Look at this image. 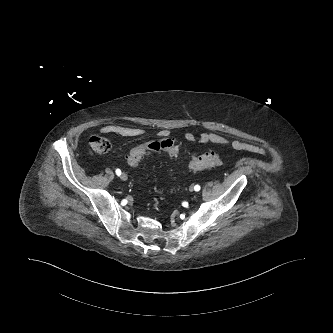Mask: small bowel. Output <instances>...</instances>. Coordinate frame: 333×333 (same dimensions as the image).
<instances>
[{
    "mask_svg": "<svg viewBox=\"0 0 333 333\" xmlns=\"http://www.w3.org/2000/svg\"><path fill=\"white\" fill-rule=\"evenodd\" d=\"M145 133V129L142 127H126L120 125H105L101 128L100 134L102 135H119L123 137H139ZM184 139L190 143L208 144L214 143L219 145H231L235 148L245 149L251 152L264 153V149L260 146L244 143L237 139H231L229 137L214 133V132H201L195 134L191 131L184 133ZM159 140L170 139V131L162 129L158 132ZM147 144V143H146Z\"/></svg>",
    "mask_w": 333,
    "mask_h": 333,
    "instance_id": "c3829d8e",
    "label": "small bowel"
}]
</instances>
